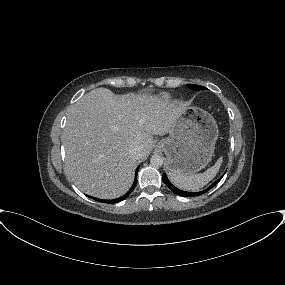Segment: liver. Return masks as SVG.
<instances>
[{"label":"liver","instance_id":"1","mask_svg":"<svg viewBox=\"0 0 285 285\" xmlns=\"http://www.w3.org/2000/svg\"><path fill=\"white\" fill-rule=\"evenodd\" d=\"M186 104L97 88L72 105L64 129L65 172L84 193L115 199L131 187L134 169L152 150L153 135H165ZM141 147L138 158L132 144Z\"/></svg>","mask_w":285,"mask_h":285}]
</instances>
